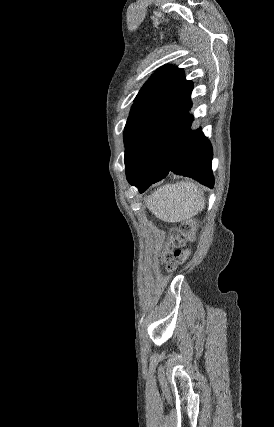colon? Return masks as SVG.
<instances>
[{
    "instance_id": "colon-1",
    "label": "colon",
    "mask_w": 274,
    "mask_h": 427,
    "mask_svg": "<svg viewBox=\"0 0 274 427\" xmlns=\"http://www.w3.org/2000/svg\"><path fill=\"white\" fill-rule=\"evenodd\" d=\"M175 236L167 243L166 248H187L186 242L195 239V229L192 223H183L174 227Z\"/></svg>"
}]
</instances>
